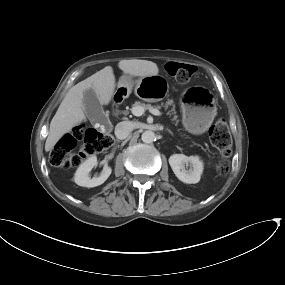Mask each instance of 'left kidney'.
Segmentation results:
<instances>
[{
	"label": "left kidney",
	"mask_w": 285,
	"mask_h": 285,
	"mask_svg": "<svg viewBox=\"0 0 285 285\" xmlns=\"http://www.w3.org/2000/svg\"><path fill=\"white\" fill-rule=\"evenodd\" d=\"M169 164L176 177L187 184H195L200 181L203 172V162L198 156H186L173 154L169 158ZM190 168L187 169V166Z\"/></svg>",
	"instance_id": "1"
}]
</instances>
